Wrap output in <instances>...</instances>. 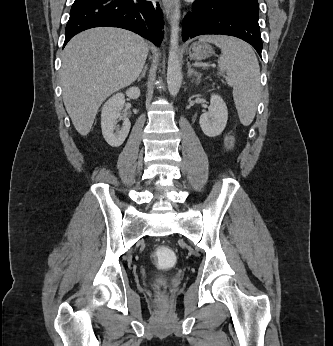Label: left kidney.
<instances>
[{
    "instance_id": "5707ae66",
    "label": "left kidney",
    "mask_w": 333,
    "mask_h": 346,
    "mask_svg": "<svg viewBox=\"0 0 333 346\" xmlns=\"http://www.w3.org/2000/svg\"><path fill=\"white\" fill-rule=\"evenodd\" d=\"M228 120L227 106L221 96L212 94L208 112L200 116V127L208 137L219 136L226 127Z\"/></svg>"
}]
</instances>
